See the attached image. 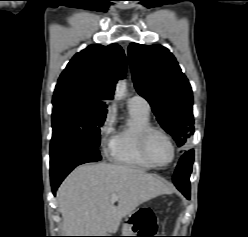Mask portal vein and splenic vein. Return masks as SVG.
I'll return each mask as SVG.
<instances>
[{"label":"portal vein and splenic vein","mask_w":248,"mask_h":237,"mask_svg":"<svg viewBox=\"0 0 248 237\" xmlns=\"http://www.w3.org/2000/svg\"><path fill=\"white\" fill-rule=\"evenodd\" d=\"M112 202H116L118 200V196L116 194L111 195L110 197Z\"/></svg>","instance_id":"obj_1"}]
</instances>
